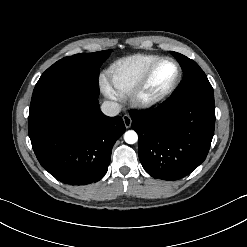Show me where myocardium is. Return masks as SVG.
<instances>
[{"label": "myocardium", "instance_id": "1", "mask_svg": "<svg viewBox=\"0 0 247 247\" xmlns=\"http://www.w3.org/2000/svg\"><path fill=\"white\" fill-rule=\"evenodd\" d=\"M163 61H171L175 64L176 69H177V74H176L174 81L163 92L153 95V96H149V97L145 96L144 90L148 84V81L153 71ZM181 77H182V69H181L179 62L176 59L172 57H168V56L160 57L157 60H155L143 73L139 81L136 83L134 88L131 90L130 99L132 103L139 108L147 109V108L156 107L162 104L163 102H165L173 94V92L176 90V88L178 87L181 81Z\"/></svg>", "mask_w": 247, "mask_h": 247}]
</instances>
